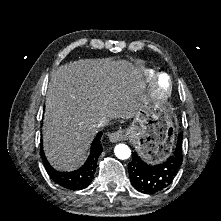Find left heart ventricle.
<instances>
[{
	"label": "left heart ventricle",
	"instance_id": "left-heart-ventricle-1",
	"mask_svg": "<svg viewBox=\"0 0 221 221\" xmlns=\"http://www.w3.org/2000/svg\"><path fill=\"white\" fill-rule=\"evenodd\" d=\"M167 83H168V81H167V77L166 76H161L160 78H159V84L162 86V87H166L167 86Z\"/></svg>",
	"mask_w": 221,
	"mask_h": 221
}]
</instances>
